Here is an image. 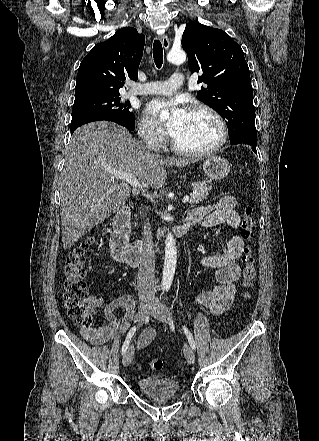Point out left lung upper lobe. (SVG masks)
<instances>
[{"mask_svg": "<svg viewBox=\"0 0 319 441\" xmlns=\"http://www.w3.org/2000/svg\"><path fill=\"white\" fill-rule=\"evenodd\" d=\"M182 47L191 72H203L207 84L197 98L226 120L230 142H257L255 109L249 68L239 44L224 31L191 21L186 24Z\"/></svg>", "mask_w": 319, "mask_h": 441, "instance_id": "obj_1", "label": "left lung upper lobe"}]
</instances>
